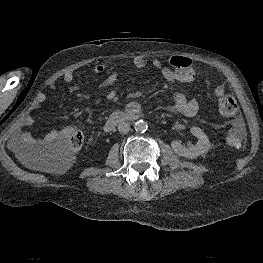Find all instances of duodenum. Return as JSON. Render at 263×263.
Here are the masks:
<instances>
[{
    "label": "duodenum",
    "instance_id": "obj_1",
    "mask_svg": "<svg viewBox=\"0 0 263 263\" xmlns=\"http://www.w3.org/2000/svg\"><path fill=\"white\" fill-rule=\"evenodd\" d=\"M140 113L141 109L139 105L132 103L125 104L109 116L105 124V129L108 130L122 121L137 119Z\"/></svg>",
    "mask_w": 263,
    "mask_h": 263
}]
</instances>
